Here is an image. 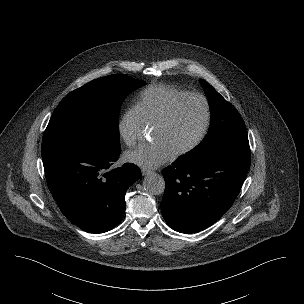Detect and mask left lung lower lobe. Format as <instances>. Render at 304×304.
<instances>
[{
	"label": "left lung lower lobe",
	"instance_id": "left-lung-lower-lobe-1",
	"mask_svg": "<svg viewBox=\"0 0 304 304\" xmlns=\"http://www.w3.org/2000/svg\"><path fill=\"white\" fill-rule=\"evenodd\" d=\"M250 161V153L226 152L197 164L180 158L165 168L161 210L166 223L180 233L212 225L235 201Z\"/></svg>",
	"mask_w": 304,
	"mask_h": 304
}]
</instances>
